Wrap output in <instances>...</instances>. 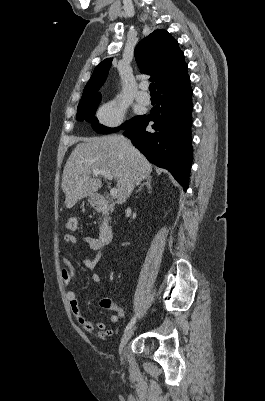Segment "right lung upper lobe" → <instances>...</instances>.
<instances>
[{
	"label": "right lung upper lobe",
	"mask_w": 265,
	"mask_h": 401,
	"mask_svg": "<svg viewBox=\"0 0 265 401\" xmlns=\"http://www.w3.org/2000/svg\"><path fill=\"white\" fill-rule=\"evenodd\" d=\"M134 54L140 70L152 75L150 80L155 81L158 93L173 90L189 81L184 54L166 30H155L142 39ZM111 62V58L105 59L96 66L80 103L100 95L98 90L107 78Z\"/></svg>",
	"instance_id": "obj_1"
}]
</instances>
